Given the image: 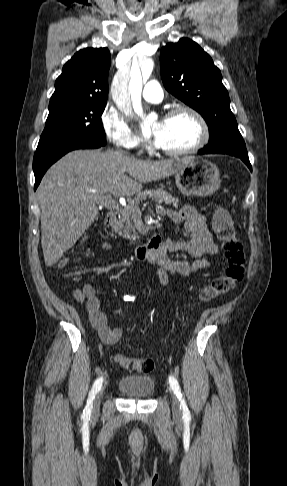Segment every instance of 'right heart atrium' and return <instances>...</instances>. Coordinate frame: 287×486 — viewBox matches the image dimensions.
<instances>
[{
    "label": "right heart atrium",
    "mask_w": 287,
    "mask_h": 486,
    "mask_svg": "<svg viewBox=\"0 0 287 486\" xmlns=\"http://www.w3.org/2000/svg\"><path fill=\"white\" fill-rule=\"evenodd\" d=\"M101 125L108 139L117 147L135 151L142 146L141 138L131 129L125 119L112 109L105 108Z\"/></svg>",
    "instance_id": "d8ad5b80"
}]
</instances>
